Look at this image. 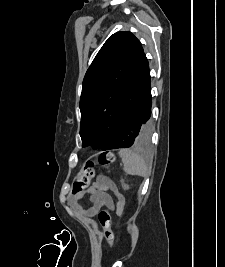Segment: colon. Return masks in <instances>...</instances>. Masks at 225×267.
<instances>
[{
    "instance_id": "colon-1",
    "label": "colon",
    "mask_w": 225,
    "mask_h": 267,
    "mask_svg": "<svg viewBox=\"0 0 225 267\" xmlns=\"http://www.w3.org/2000/svg\"><path fill=\"white\" fill-rule=\"evenodd\" d=\"M114 161L115 156L110 151H103L96 158L86 161L74 183V192L80 193L88 189L97 166L106 167L113 164ZM118 206L123 211L125 199L120 198L118 201ZM98 220L101 226L104 228V235L108 242L109 249H111L114 244V234L111 230V216L108 207H104L99 211Z\"/></svg>"
}]
</instances>
